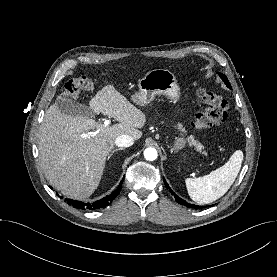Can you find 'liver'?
<instances>
[{
  "label": "liver",
  "mask_w": 277,
  "mask_h": 277,
  "mask_svg": "<svg viewBox=\"0 0 277 277\" xmlns=\"http://www.w3.org/2000/svg\"><path fill=\"white\" fill-rule=\"evenodd\" d=\"M89 105L95 114L120 123L105 126L89 117L64 114L53 104L38 132L40 165L47 181L74 199H84L97 189L116 138L126 134L138 140L142 137L138 129L146 123L145 113L113 84L99 90ZM88 133L95 134L86 136Z\"/></svg>",
  "instance_id": "obj_1"
}]
</instances>
